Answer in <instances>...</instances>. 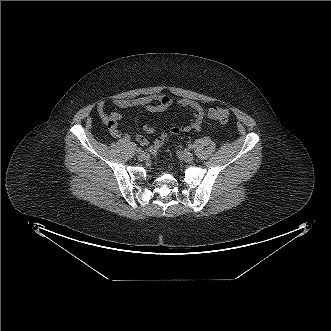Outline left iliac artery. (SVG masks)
Masks as SVG:
<instances>
[{
  "mask_svg": "<svg viewBox=\"0 0 331 331\" xmlns=\"http://www.w3.org/2000/svg\"><path fill=\"white\" fill-rule=\"evenodd\" d=\"M188 147H189L190 149H193V148H194V146H193L192 144H189Z\"/></svg>",
  "mask_w": 331,
  "mask_h": 331,
  "instance_id": "1",
  "label": "left iliac artery"
}]
</instances>
